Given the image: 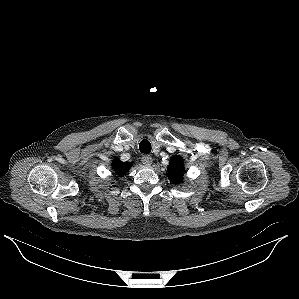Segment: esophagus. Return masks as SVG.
<instances>
[{
  "label": "esophagus",
  "mask_w": 299,
  "mask_h": 299,
  "mask_svg": "<svg viewBox=\"0 0 299 299\" xmlns=\"http://www.w3.org/2000/svg\"><path fill=\"white\" fill-rule=\"evenodd\" d=\"M142 163L146 166H150L153 162V159L149 155H144L141 159Z\"/></svg>",
  "instance_id": "1"
}]
</instances>
